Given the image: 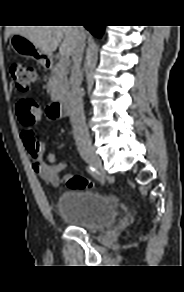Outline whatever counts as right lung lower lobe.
<instances>
[{"label": "right lung lower lobe", "mask_w": 184, "mask_h": 292, "mask_svg": "<svg viewBox=\"0 0 184 292\" xmlns=\"http://www.w3.org/2000/svg\"><path fill=\"white\" fill-rule=\"evenodd\" d=\"M86 29H88L94 36L100 38L101 35L104 32V27L103 25H96V24H88L85 25Z\"/></svg>", "instance_id": "right-lung-lower-lobe-1"}]
</instances>
